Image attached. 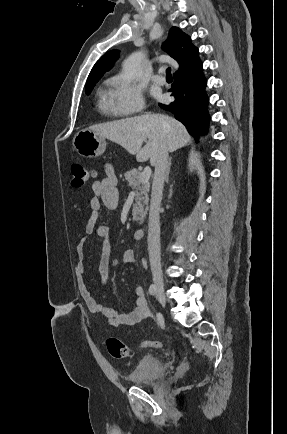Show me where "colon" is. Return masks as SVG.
<instances>
[{
    "mask_svg": "<svg viewBox=\"0 0 287 434\" xmlns=\"http://www.w3.org/2000/svg\"><path fill=\"white\" fill-rule=\"evenodd\" d=\"M73 180L72 185L74 187H81L91 183L96 178V171L81 164L72 165ZM107 349L110 355L116 359L128 358L131 356L130 347L115 337H109L106 341ZM161 343L157 340H147L142 342L139 347L141 349L157 348Z\"/></svg>",
    "mask_w": 287,
    "mask_h": 434,
    "instance_id": "5ec220e1",
    "label": "colon"
}]
</instances>
